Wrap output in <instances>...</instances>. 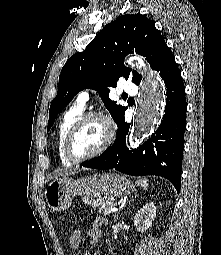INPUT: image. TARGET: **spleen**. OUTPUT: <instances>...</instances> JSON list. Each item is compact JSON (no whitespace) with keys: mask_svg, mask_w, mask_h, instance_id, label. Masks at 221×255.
Segmentation results:
<instances>
[{"mask_svg":"<svg viewBox=\"0 0 221 255\" xmlns=\"http://www.w3.org/2000/svg\"><path fill=\"white\" fill-rule=\"evenodd\" d=\"M136 183L138 185H140L144 189H147V187H148V180H147V178H140L139 180L136 181Z\"/></svg>","mask_w":221,"mask_h":255,"instance_id":"spleen-1","label":"spleen"}]
</instances>
